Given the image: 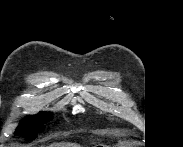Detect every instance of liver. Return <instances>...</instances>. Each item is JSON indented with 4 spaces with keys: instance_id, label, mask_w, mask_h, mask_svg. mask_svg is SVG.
<instances>
[{
    "instance_id": "1",
    "label": "liver",
    "mask_w": 183,
    "mask_h": 147,
    "mask_svg": "<svg viewBox=\"0 0 183 147\" xmlns=\"http://www.w3.org/2000/svg\"><path fill=\"white\" fill-rule=\"evenodd\" d=\"M51 147H80V146L74 143H60V144H55V146H51Z\"/></svg>"
}]
</instances>
